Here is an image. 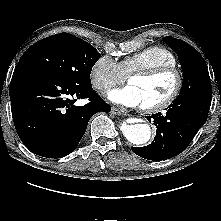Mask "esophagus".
<instances>
[{
    "label": "esophagus",
    "instance_id": "34e87169",
    "mask_svg": "<svg viewBox=\"0 0 221 221\" xmlns=\"http://www.w3.org/2000/svg\"><path fill=\"white\" fill-rule=\"evenodd\" d=\"M111 113L114 114V115H124L125 110L124 109H119V108H116V107H112Z\"/></svg>",
    "mask_w": 221,
    "mask_h": 221
}]
</instances>
